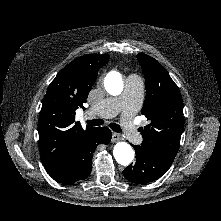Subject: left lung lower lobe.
<instances>
[{"label":"left lung lower lobe","mask_w":221,"mask_h":221,"mask_svg":"<svg viewBox=\"0 0 221 221\" xmlns=\"http://www.w3.org/2000/svg\"><path fill=\"white\" fill-rule=\"evenodd\" d=\"M136 153V162L127 166L124 177L138 184H146L160 178L171 166L176 152L149 151L141 145H133Z\"/></svg>","instance_id":"left-lung-lower-lobe-1"}]
</instances>
